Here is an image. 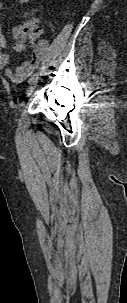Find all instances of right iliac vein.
I'll use <instances>...</instances> for the list:
<instances>
[{
  "mask_svg": "<svg viewBox=\"0 0 127 303\" xmlns=\"http://www.w3.org/2000/svg\"><path fill=\"white\" fill-rule=\"evenodd\" d=\"M37 83H38V78L30 84L28 90H27V94L30 95L32 94V92L35 90V88L37 87Z\"/></svg>",
  "mask_w": 127,
  "mask_h": 303,
  "instance_id": "obj_1",
  "label": "right iliac vein"
}]
</instances>
